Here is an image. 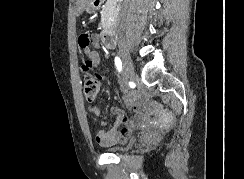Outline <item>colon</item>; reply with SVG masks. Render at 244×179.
Masks as SVG:
<instances>
[{
  "instance_id": "obj_1",
  "label": "colon",
  "mask_w": 244,
  "mask_h": 179,
  "mask_svg": "<svg viewBox=\"0 0 244 179\" xmlns=\"http://www.w3.org/2000/svg\"><path fill=\"white\" fill-rule=\"evenodd\" d=\"M100 83L96 77H91L89 74H84L83 96L89 102H94L99 93Z\"/></svg>"
}]
</instances>
